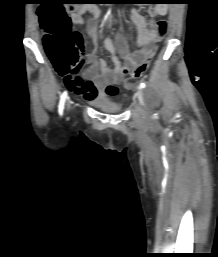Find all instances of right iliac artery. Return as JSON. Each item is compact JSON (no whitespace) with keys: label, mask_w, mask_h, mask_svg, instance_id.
Masks as SVG:
<instances>
[{"label":"right iliac artery","mask_w":218,"mask_h":257,"mask_svg":"<svg viewBox=\"0 0 218 257\" xmlns=\"http://www.w3.org/2000/svg\"><path fill=\"white\" fill-rule=\"evenodd\" d=\"M66 97H67V91H64L63 94L61 95L59 106H58V112L60 115H63Z\"/></svg>","instance_id":"82829eb1"}]
</instances>
